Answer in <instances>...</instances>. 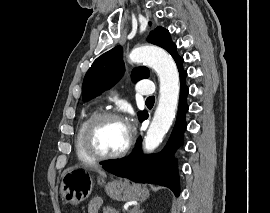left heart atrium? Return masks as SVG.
Returning a JSON list of instances; mask_svg holds the SVG:
<instances>
[{
    "label": "left heart atrium",
    "mask_w": 270,
    "mask_h": 213,
    "mask_svg": "<svg viewBox=\"0 0 270 213\" xmlns=\"http://www.w3.org/2000/svg\"><path fill=\"white\" fill-rule=\"evenodd\" d=\"M125 125H126V127H127L128 131L130 132V128H131V126H130L129 121H125Z\"/></svg>",
    "instance_id": "1"
}]
</instances>
